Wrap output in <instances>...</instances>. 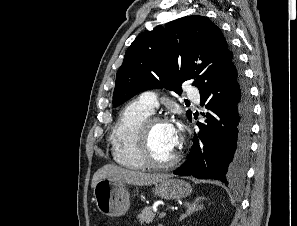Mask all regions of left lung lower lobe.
<instances>
[{"label":"left lung lower lobe","instance_id":"obj_1","mask_svg":"<svg viewBox=\"0 0 297 226\" xmlns=\"http://www.w3.org/2000/svg\"><path fill=\"white\" fill-rule=\"evenodd\" d=\"M205 123H197L188 160L173 173L238 185L245 178L250 153L253 106L242 71L230 82L199 89ZM192 119V117H191ZM190 119V120H191Z\"/></svg>","mask_w":297,"mask_h":226}]
</instances>
